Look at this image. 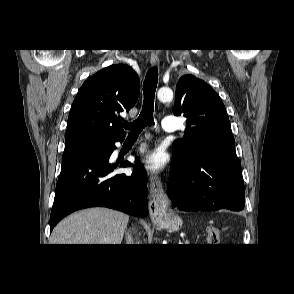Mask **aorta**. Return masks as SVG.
Returning <instances> with one entry per match:
<instances>
[{
  "label": "aorta",
  "mask_w": 294,
  "mask_h": 294,
  "mask_svg": "<svg viewBox=\"0 0 294 294\" xmlns=\"http://www.w3.org/2000/svg\"><path fill=\"white\" fill-rule=\"evenodd\" d=\"M157 97L162 102H171L173 99V91L170 88H160Z\"/></svg>",
  "instance_id": "obj_1"
}]
</instances>
